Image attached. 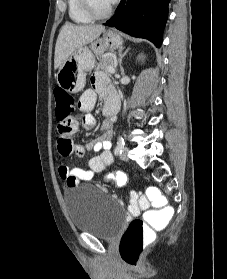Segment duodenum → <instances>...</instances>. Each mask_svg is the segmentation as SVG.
I'll return each mask as SVG.
<instances>
[{"label":"duodenum","mask_w":227,"mask_h":279,"mask_svg":"<svg viewBox=\"0 0 227 279\" xmlns=\"http://www.w3.org/2000/svg\"><path fill=\"white\" fill-rule=\"evenodd\" d=\"M118 110H119L118 103L113 100H110L106 104L105 115L108 117H112L117 114Z\"/></svg>","instance_id":"410a0bca"}]
</instances>
